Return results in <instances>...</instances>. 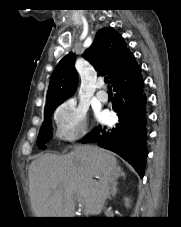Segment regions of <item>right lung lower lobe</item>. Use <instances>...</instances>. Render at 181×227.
Returning a JSON list of instances; mask_svg holds the SVG:
<instances>
[{"mask_svg": "<svg viewBox=\"0 0 181 227\" xmlns=\"http://www.w3.org/2000/svg\"><path fill=\"white\" fill-rule=\"evenodd\" d=\"M140 67L131 54L113 80L116 92L113 110L117 112L119 123L106 130L101 126L84 137L82 142L94 143L112 150L127 160L143 177L146 157V95L143 92V78Z\"/></svg>", "mask_w": 181, "mask_h": 227, "instance_id": "obj_1", "label": "right lung lower lobe"}]
</instances>
